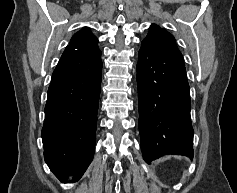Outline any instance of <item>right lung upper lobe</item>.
I'll return each instance as SVG.
<instances>
[{"label": "right lung upper lobe", "instance_id": "right-lung-upper-lobe-1", "mask_svg": "<svg viewBox=\"0 0 237 193\" xmlns=\"http://www.w3.org/2000/svg\"><path fill=\"white\" fill-rule=\"evenodd\" d=\"M97 43L98 39L87 27H84L73 35L65 51L76 54H96L101 52Z\"/></svg>", "mask_w": 237, "mask_h": 193}]
</instances>
